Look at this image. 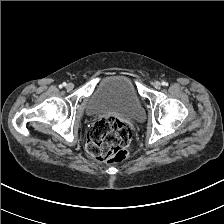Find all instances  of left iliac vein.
<instances>
[{
    "mask_svg": "<svg viewBox=\"0 0 224 224\" xmlns=\"http://www.w3.org/2000/svg\"><path fill=\"white\" fill-rule=\"evenodd\" d=\"M153 86H154L155 89H160V87H161V83H160L159 81H155V82L153 83Z\"/></svg>",
    "mask_w": 224,
    "mask_h": 224,
    "instance_id": "4c4485c4",
    "label": "left iliac vein"
}]
</instances>
